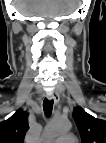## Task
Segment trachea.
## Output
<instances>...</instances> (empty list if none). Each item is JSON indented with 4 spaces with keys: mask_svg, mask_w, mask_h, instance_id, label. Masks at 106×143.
<instances>
[{
    "mask_svg": "<svg viewBox=\"0 0 106 143\" xmlns=\"http://www.w3.org/2000/svg\"><path fill=\"white\" fill-rule=\"evenodd\" d=\"M53 103V100H48L47 98L43 101V110L47 117L52 113Z\"/></svg>",
    "mask_w": 106,
    "mask_h": 143,
    "instance_id": "obj_1",
    "label": "trachea"
}]
</instances>
